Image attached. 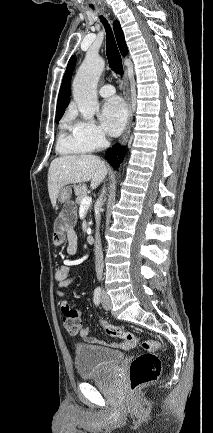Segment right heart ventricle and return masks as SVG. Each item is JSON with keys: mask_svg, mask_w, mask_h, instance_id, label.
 I'll return each instance as SVG.
<instances>
[{"mask_svg": "<svg viewBox=\"0 0 213 433\" xmlns=\"http://www.w3.org/2000/svg\"><path fill=\"white\" fill-rule=\"evenodd\" d=\"M57 151L61 154H85L92 148L75 133L73 124L66 119L58 137Z\"/></svg>", "mask_w": 213, "mask_h": 433, "instance_id": "right-heart-ventricle-1", "label": "right heart ventricle"}]
</instances>
